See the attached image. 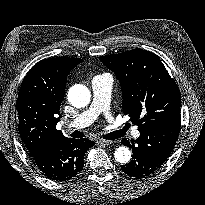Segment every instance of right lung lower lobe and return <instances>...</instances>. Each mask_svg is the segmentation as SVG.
I'll list each match as a JSON object with an SVG mask.
<instances>
[{
  "label": "right lung lower lobe",
  "instance_id": "obj_1",
  "mask_svg": "<svg viewBox=\"0 0 205 205\" xmlns=\"http://www.w3.org/2000/svg\"><path fill=\"white\" fill-rule=\"evenodd\" d=\"M95 142L87 138L66 139L30 153L38 169L48 178L65 181L75 177L84 166V155Z\"/></svg>",
  "mask_w": 205,
  "mask_h": 205
}]
</instances>
